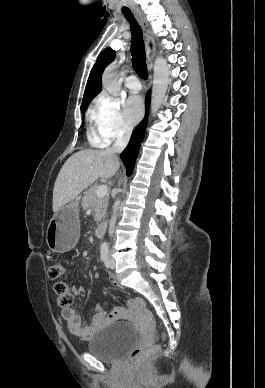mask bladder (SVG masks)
Masks as SVG:
<instances>
[{
  "instance_id": "1",
  "label": "bladder",
  "mask_w": 265,
  "mask_h": 388,
  "mask_svg": "<svg viewBox=\"0 0 265 388\" xmlns=\"http://www.w3.org/2000/svg\"><path fill=\"white\" fill-rule=\"evenodd\" d=\"M137 331L129 322L111 324L99 331L90 341L88 351L106 360L116 361L136 344Z\"/></svg>"
}]
</instances>
